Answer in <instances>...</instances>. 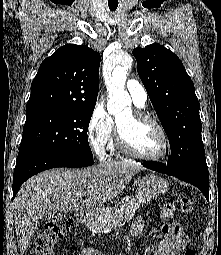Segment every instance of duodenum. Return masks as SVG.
<instances>
[{
	"mask_svg": "<svg viewBox=\"0 0 221 255\" xmlns=\"http://www.w3.org/2000/svg\"><path fill=\"white\" fill-rule=\"evenodd\" d=\"M93 216L85 210H81L76 215V220L79 223L86 224L89 223L92 220Z\"/></svg>",
	"mask_w": 221,
	"mask_h": 255,
	"instance_id": "1",
	"label": "duodenum"
}]
</instances>
